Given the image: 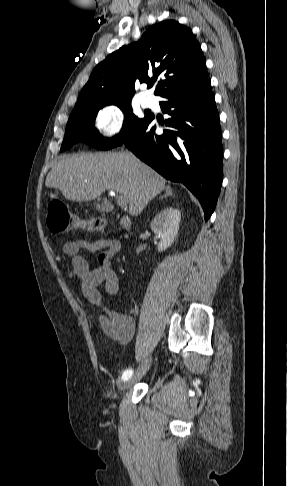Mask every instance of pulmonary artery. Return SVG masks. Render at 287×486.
Here are the masks:
<instances>
[{
	"label": "pulmonary artery",
	"mask_w": 287,
	"mask_h": 486,
	"mask_svg": "<svg viewBox=\"0 0 287 486\" xmlns=\"http://www.w3.org/2000/svg\"><path fill=\"white\" fill-rule=\"evenodd\" d=\"M155 100H154V97L152 96H146L144 99H143V104L147 107H151L153 106Z\"/></svg>",
	"instance_id": "pulmonary-artery-1"
}]
</instances>
